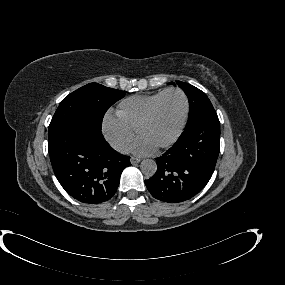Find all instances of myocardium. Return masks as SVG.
<instances>
[{
    "label": "myocardium",
    "instance_id": "f54148a6",
    "mask_svg": "<svg viewBox=\"0 0 285 285\" xmlns=\"http://www.w3.org/2000/svg\"><path fill=\"white\" fill-rule=\"evenodd\" d=\"M172 92H176V93H179V94L182 95V97L184 99V102H185V111H184V115L182 117L181 123L179 125V128H178L177 132L175 133V135L173 136V138L170 141H168L167 143L157 147L158 151L165 150V149H168V148L172 147L179 140V138L181 137V135H182V133H183V131L185 129V126H186V123H187V120H188V116H189V111H190V102H189V98H188L187 94L180 88H169V89H166L160 95V97L155 101V103L152 105V107L150 108L147 116L141 122V124L139 125L138 130H137V133L140 136L142 130L153 119V117H154V115H155V113H156V111H157L161 101L164 99V97L166 95H168L169 93H172Z\"/></svg>",
    "mask_w": 285,
    "mask_h": 285
}]
</instances>
